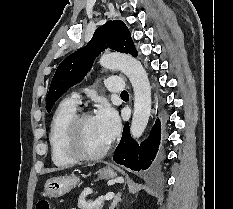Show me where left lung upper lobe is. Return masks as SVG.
<instances>
[{"label":"left lung upper lobe","mask_w":233,"mask_h":209,"mask_svg":"<svg viewBox=\"0 0 233 209\" xmlns=\"http://www.w3.org/2000/svg\"><path fill=\"white\" fill-rule=\"evenodd\" d=\"M108 47L134 57L138 56L131 34L124 22L121 20L106 22L95 31L91 41L85 47L66 57L58 66L46 100L48 112L67 89L83 80L96 57Z\"/></svg>","instance_id":"1"}]
</instances>
